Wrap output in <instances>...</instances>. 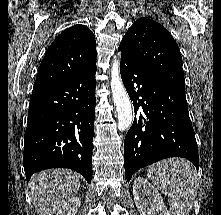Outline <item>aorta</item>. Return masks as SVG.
Segmentation results:
<instances>
[{
    "label": "aorta",
    "mask_w": 221,
    "mask_h": 215,
    "mask_svg": "<svg viewBox=\"0 0 221 215\" xmlns=\"http://www.w3.org/2000/svg\"><path fill=\"white\" fill-rule=\"evenodd\" d=\"M110 87L118 117V130H127L133 120L132 104L120 76V61L115 59L111 67Z\"/></svg>",
    "instance_id": "aorta-1"
}]
</instances>
